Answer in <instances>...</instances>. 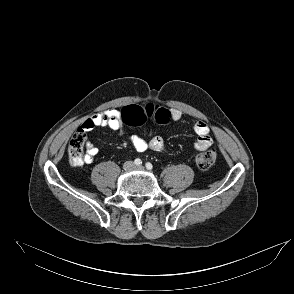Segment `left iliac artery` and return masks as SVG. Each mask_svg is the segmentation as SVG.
<instances>
[{
    "mask_svg": "<svg viewBox=\"0 0 294 294\" xmlns=\"http://www.w3.org/2000/svg\"><path fill=\"white\" fill-rule=\"evenodd\" d=\"M145 166L148 170H151L153 168V166L150 162H147Z\"/></svg>",
    "mask_w": 294,
    "mask_h": 294,
    "instance_id": "44dca946",
    "label": "left iliac artery"
}]
</instances>
